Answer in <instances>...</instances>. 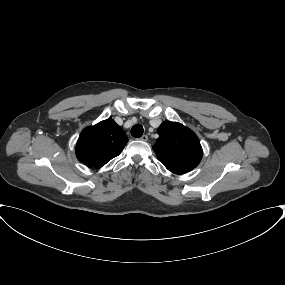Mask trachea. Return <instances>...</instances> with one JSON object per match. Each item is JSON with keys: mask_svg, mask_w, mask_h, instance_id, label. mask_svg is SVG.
I'll list each match as a JSON object with an SVG mask.
<instances>
[{"mask_svg": "<svg viewBox=\"0 0 285 285\" xmlns=\"http://www.w3.org/2000/svg\"><path fill=\"white\" fill-rule=\"evenodd\" d=\"M144 129L141 124H136L131 129V135L135 138H139L143 135Z\"/></svg>", "mask_w": 285, "mask_h": 285, "instance_id": "1", "label": "trachea"}]
</instances>
